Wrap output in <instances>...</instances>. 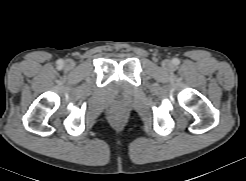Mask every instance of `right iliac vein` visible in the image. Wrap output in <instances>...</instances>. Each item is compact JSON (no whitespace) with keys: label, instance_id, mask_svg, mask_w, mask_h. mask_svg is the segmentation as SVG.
I'll return each instance as SVG.
<instances>
[{"label":"right iliac vein","instance_id":"63e3f726","mask_svg":"<svg viewBox=\"0 0 246 181\" xmlns=\"http://www.w3.org/2000/svg\"><path fill=\"white\" fill-rule=\"evenodd\" d=\"M75 66V62L73 60H67L66 63H65V67L68 69V70H71L73 69Z\"/></svg>","mask_w":246,"mask_h":181}]
</instances>
